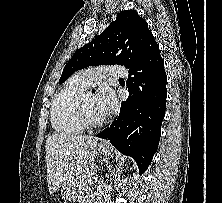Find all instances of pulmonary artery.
I'll use <instances>...</instances> for the list:
<instances>
[{
  "label": "pulmonary artery",
  "instance_id": "e3ab8cb5",
  "mask_svg": "<svg viewBox=\"0 0 222 203\" xmlns=\"http://www.w3.org/2000/svg\"><path fill=\"white\" fill-rule=\"evenodd\" d=\"M128 71L125 67L119 65L100 66L82 70L73 76L74 81L84 88H89L100 81L107 75L125 77Z\"/></svg>",
  "mask_w": 222,
  "mask_h": 203
}]
</instances>
